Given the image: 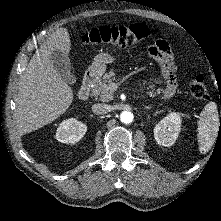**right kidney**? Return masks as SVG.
Instances as JSON below:
<instances>
[{
	"mask_svg": "<svg viewBox=\"0 0 221 221\" xmlns=\"http://www.w3.org/2000/svg\"><path fill=\"white\" fill-rule=\"evenodd\" d=\"M86 131L87 127L82 122L74 118L67 119L57 128L56 139L62 143H76Z\"/></svg>",
	"mask_w": 221,
	"mask_h": 221,
	"instance_id": "1",
	"label": "right kidney"
}]
</instances>
